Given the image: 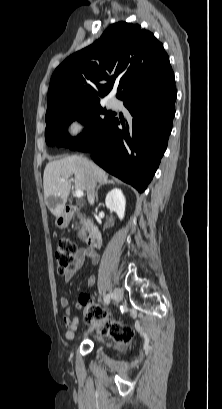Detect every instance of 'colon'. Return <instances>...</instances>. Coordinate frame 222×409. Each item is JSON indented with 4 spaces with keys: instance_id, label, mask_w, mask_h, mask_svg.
<instances>
[{
    "instance_id": "1",
    "label": "colon",
    "mask_w": 222,
    "mask_h": 409,
    "mask_svg": "<svg viewBox=\"0 0 222 409\" xmlns=\"http://www.w3.org/2000/svg\"><path fill=\"white\" fill-rule=\"evenodd\" d=\"M76 254V245L69 239H60L56 246L55 260L57 273L65 274L68 267L74 261ZM103 310L96 305H91L87 308L86 319L89 322H95L101 318ZM99 335L109 336L113 341L126 344L133 337V330L127 325L116 322H110L98 331Z\"/></svg>"
}]
</instances>
